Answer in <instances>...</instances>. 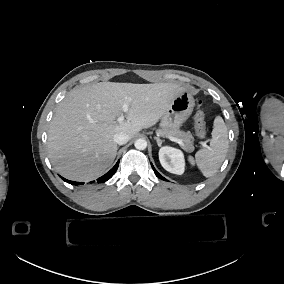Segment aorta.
Instances as JSON below:
<instances>
[{"label":"aorta","instance_id":"1","mask_svg":"<svg viewBox=\"0 0 284 284\" xmlns=\"http://www.w3.org/2000/svg\"><path fill=\"white\" fill-rule=\"evenodd\" d=\"M135 148L138 150H144L147 147V141L145 139H137L134 143Z\"/></svg>","mask_w":284,"mask_h":284}]
</instances>
